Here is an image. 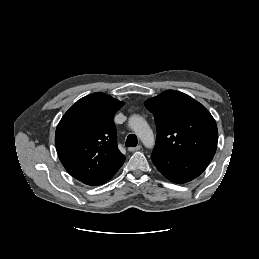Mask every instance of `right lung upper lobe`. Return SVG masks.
<instances>
[{
	"label": "right lung upper lobe",
	"instance_id": "1",
	"mask_svg": "<svg viewBox=\"0 0 259 259\" xmlns=\"http://www.w3.org/2000/svg\"><path fill=\"white\" fill-rule=\"evenodd\" d=\"M123 105L98 92L81 98L64 114L56 128L55 145L71 176L82 182L93 180L124 163L113 122Z\"/></svg>",
	"mask_w": 259,
	"mask_h": 259
}]
</instances>
